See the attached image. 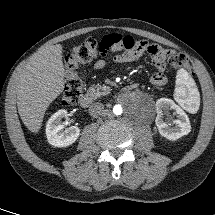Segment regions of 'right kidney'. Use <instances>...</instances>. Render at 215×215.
<instances>
[{
	"instance_id": "ca27d5eb",
	"label": "right kidney",
	"mask_w": 215,
	"mask_h": 215,
	"mask_svg": "<svg viewBox=\"0 0 215 215\" xmlns=\"http://www.w3.org/2000/svg\"><path fill=\"white\" fill-rule=\"evenodd\" d=\"M65 109L54 113L47 122L46 135L48 142L54 147H66L73 144L79 137L80 129L77 126L64 129L63 118H67Z\"/></svg>"
}]
</instances>
